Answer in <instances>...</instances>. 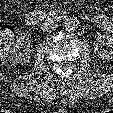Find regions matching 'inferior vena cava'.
Masks as SVG:
<instances>
[{
    "label": "inferior vena cava",
    "instance_id": "obj_1",
    "mask_svg": "<svg viewBox=\"0 0 113 113\" xmlns=\"http://www.w3.org/2000/svg\"><path fill=\"white\" fill-rule=\"evenodd\" d=\"M58 27V24L54 21H45L44 23H42V27L41 30L43 32H51L53 30H55Z\"/></svg>",
    "mask_w": 113,
    "mask_h": 113
}]
</instances>
